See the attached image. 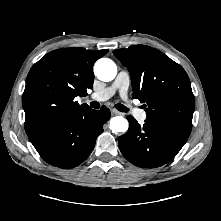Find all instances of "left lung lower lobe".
Segmentation results:
<instances>
[{
    "label": "left lung lower lobe",
    "instance_id": "left-lung-lower-lobe-1",
    "mask_svg": "<svg viewBox=\"0 0 221 221\" xmlns=\"http://www.w3.org/2000/svg\"><path fill=\"white\" fill-rule=\"evenodd\" d=\"M129 129L118 139L123 156L141 168H155L172 160L186 143L188 137L155 125L147 120L141 126L127 117Z\"/></svg>",
    "mask_w": 221,
    "mask_h": 221
}]
</instances>
